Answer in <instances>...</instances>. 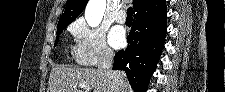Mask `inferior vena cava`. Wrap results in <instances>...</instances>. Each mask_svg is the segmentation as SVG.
<instances>
[{"label": "inferior vena cava", "mask_w": 225, "mask_h": 92, "mask_svg": "<svg viewBox=\"0 0 225 92\" xmlns=\"http://www.w3.org/2000/svg\"><path fill=\"white\" fill-rule=\"evenodd\" d=\"M113 52L109 49H104L102 52V59L98 69L106 73L110 78L111 92H119L117 73L112 70Z\"/></svg>", "instance_id": "inferior-vena-cava-1"}]
</instances>
